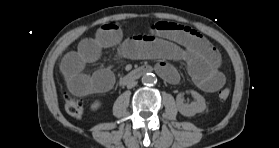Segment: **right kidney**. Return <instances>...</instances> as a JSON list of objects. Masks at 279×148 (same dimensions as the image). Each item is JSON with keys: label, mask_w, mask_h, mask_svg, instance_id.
<instances>
[{"label": "right kidney", "mask_w": 279, "mask_h": 148, "mask_svg": "<svg viewBox=\"0 0 279 148\" xmlns=\"http://www.w3.org/2000/svg\"><path fill=\"white\" fill-rule=\"evenodd\" d=\"M101 105H102L101 102L99 100H96L91 104L90 108H91V110L95 111V110L99 109L101 107Z\"/></svg>", "instance_id": "obj_1"}]
</instances>
